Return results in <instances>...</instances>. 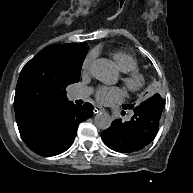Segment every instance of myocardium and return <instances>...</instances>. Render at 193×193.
I'll return each instance as SVG.
<instances>
[{"label":"myocardium","mask_w":193,"mask_h":193,"mask_svg":"<svg viewBox=\"0 0 193 193\" xmlns=\"http://www.w3.org/2000/svg\"><path fill=\"white\" fill-rule=\"evenodd\" d=\"M121 82L126 91L134 92L140 88L142 83V77L134 69L128 73H122Z\"/></svg>","instance_id":"myocardium-1"}]
</instances>
